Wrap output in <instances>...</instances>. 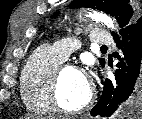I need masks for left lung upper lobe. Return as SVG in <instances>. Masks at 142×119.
I'll return each mask as SVG.
<instances>
[{"label":"left lung upper lobe","mask_w":142,"mask_h":119,"mask_svg":"<svg viewBox=\"0 0 142 119\" xmlns=\"http://www.w3.org/2000/svg\"><path fill=\"white\" fill-rule=\"evenodd\" d=\"M129 2L130 0H74L71 6L90 7L115 16L119 26L122 28V32L128 25L142 17L139 10L130 5ZM113 35H116V33H113ZM99 62L104 66L105 62L103 59H100Z\"/></svg>","instance_id":"obj_1"}]
</instances>
